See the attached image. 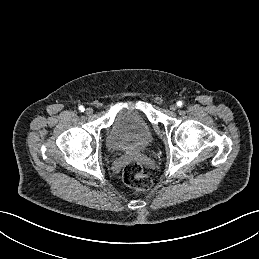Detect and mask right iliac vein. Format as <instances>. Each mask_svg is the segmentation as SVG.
Masks as SVG:
<instances>
[{"instance_id": "right-iliac-vein-1", "label": "right iliac vein", "mask_w": 259, "mask_h": 259, "mask_svg": "<svg viewBox=\"0 0 259 259\" xmlns=\"http://www.w3.org/2000/svg\"><path fill=\"white\" fill-rule=\"evenodd\" d=\"M85 113H86L87 115H92V113H93L92 108H87L86 111H85Z\"/></svg>"}]
</instances>
